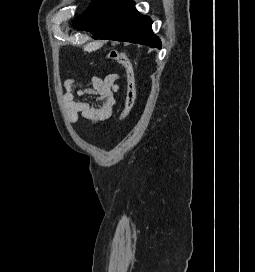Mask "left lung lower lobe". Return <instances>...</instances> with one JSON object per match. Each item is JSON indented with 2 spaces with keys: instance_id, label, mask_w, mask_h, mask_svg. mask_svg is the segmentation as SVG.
<instances>
[{
  "instance_id": "obj_1",
  "label": "left lung lower lobe",
  "mask_w": 255,
  "mask_h": 272,
  "mask_svg": "<svg viewBox=\"0 0 255 272\" xmlns=\"http://www.w3.org/2000/svg\"><path fill=\"white\" fill-rule=\"evenodd\" d=\"M73 25L91 32L95 39L161 47L160 39L152 32L150 17L141 15L132 0H92Z\"/></svg>"
}]
</instances>
